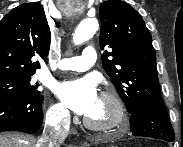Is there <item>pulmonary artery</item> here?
Returning a JSON list of instances; mask_svg holds the SVG:
<instances>
[{
	"label": "pulmonary artery",
	"mask_w": 183,
	"mask_h": 147,
	"mask_svg": "<svg viewBox=\"0 0 183 147\" xmlns=\"http://www.w3.org/2000/svg\"><path fill=\"white\" fill-rule=\"evenodd\" d=\"M97 59L96 50L92 46L84 48L80 56L64 58L58 64L60 70H73L83 72L88 70Z\"/></svg>",
	"instance_id": "1"
}]
</instances>
